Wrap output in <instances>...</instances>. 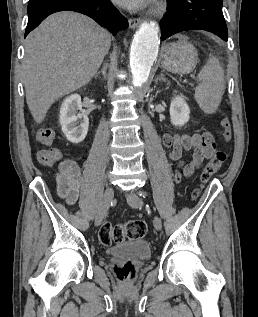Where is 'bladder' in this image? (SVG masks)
Here are the masks:
<instances>
[{"instance_id":"31cf9c89","label":"bladder","mask_w":258,"mask_h":317,"mask_svg":"<svg viewBox=\"0 0 258 317\" xmlns=\"http://www.w3.org/2000/svg\"><path fill=\"white\" fill-rule=\"evenodd\" d=\"M106 255L121 259L143 261L150 257L151 248L146 241L136 239L108 248Z\"/></svg>"}]
</instances>
